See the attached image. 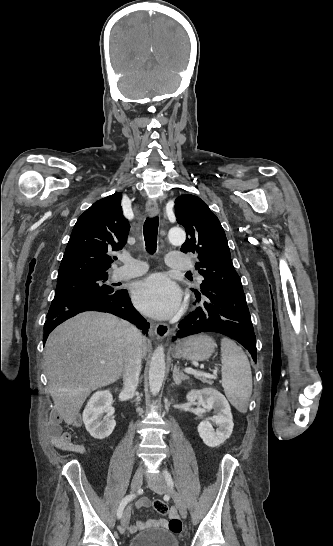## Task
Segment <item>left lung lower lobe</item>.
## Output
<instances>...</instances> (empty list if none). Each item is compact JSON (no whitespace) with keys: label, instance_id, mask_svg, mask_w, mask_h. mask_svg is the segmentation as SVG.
<instances>
[{"label":"left lung lower lobe","instance_id":"0a47b994","mask_svg":"<svg viewBox=\"0 0 333 546\" xmlns=\"http://www.w3.org/2000/svg\"><path fill=\"white\" fill-rule=\"evenodd\" d=\"M194 294L198 307L179 323L173 340L202 332L220 333L238 341L256 361V338L245 294Z\"/></svg>","mask_w":333,"mask_h":546}]
</instances>
